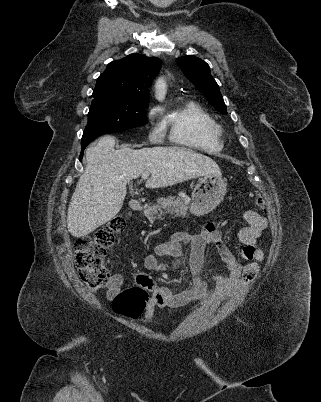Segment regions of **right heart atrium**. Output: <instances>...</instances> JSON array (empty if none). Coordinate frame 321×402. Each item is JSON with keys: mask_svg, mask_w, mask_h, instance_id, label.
<instances>
[{"mask_svg": "<svg viewBox=\"0 0 321 402\" xmlns=\"http://www.w3.org/2000/svg\"><path fill=\"white\" fill-rule=\"evenodd\" d=\"M160 114V110L157 107H152L147 112V117L151 122H154ZM152 140H159L161 138V130L158 127H153L150 133Z\"/></svg>", "mask_w": 321, "mask_h": 402, "instance_id": "d8ad5b80", "label": "right heart atrium"}]
</instances>
